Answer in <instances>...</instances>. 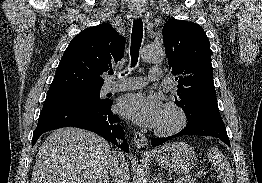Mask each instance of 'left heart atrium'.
I'll return each mask as SVG.
<instances>
[{
	"label": "left heart atrium",
	"instance_id": "1",
	"mask_svg": "<svg viewBox=\"0 0 262 183\" xmlns=\"http://www.w3.org/2000/svg\"><path fill=\"white\" fill-rule=\"evenodd\" d=\"M164 107L158 97L144 93H132L119 101V111L136 124L156 128Z\"/></svg>",
	"mask_w": 262,
	"mask_h": 183
}]
</instances>
